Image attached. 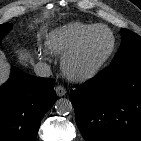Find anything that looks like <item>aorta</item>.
<instances>
[{"instance_id":"762f6f07","label":"aorta","mask_w":141,"mask_h":141,"mask_svg":"<svg viewBox=\"0 0 141 141\" xmlns=\"http://www.w3.org/2000/svg\"><path fill=\"white\" fill-rule=\"evenodd\" d=\"M55 110L59 115H67L73 110V105L69 99L60 98L55 103Z\"/></svg>"}]
</instances>
